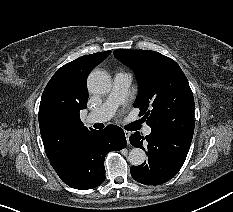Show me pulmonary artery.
<instances>
[{"label": "pulmonary artery", "mask_w": 233, "mask_h": 212, "mask_svg": "<svg viewBox=\"0 0 233 212\" xmlns=\"http://www.w3.org/2000/svg\"><path fill=\"white\" fill-rule=\"evenodd\" d=\"M131 81V75L128 73L119 72L115 74L110 94L99 108L87 115L86 120L89 123L105 122L109 120L115 114L117 108L126 103ZM144 133L149 135L151 133V128L146 126L144 128Z\"/></svg>", "instance_id": "obj_1"}]
</instances>
